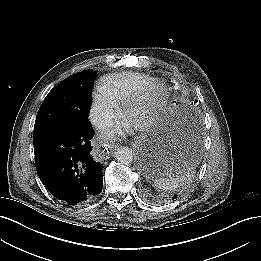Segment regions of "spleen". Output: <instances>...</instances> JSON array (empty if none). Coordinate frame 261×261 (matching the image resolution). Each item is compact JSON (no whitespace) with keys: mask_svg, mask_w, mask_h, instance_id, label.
<instances>
[{"mask_svg":"<svg viewBox=\"0 0 261 261\" xmlns=\"http://www.w3.org/2000/svg\"><path fill=\"white\" fill-rule=\"evenodd\" d=\"M185 179H186L185 176L180 177L178 181H171V182L169 180L166 181V180L158 179L155 181L154 185L156 188L161 190H172L179 185L178 182H180V185H183Z\"/></svg>","mask_w":261,"mask_h":261,"instance_id":"3e777b00","label":"spleen"}]
</instances>
